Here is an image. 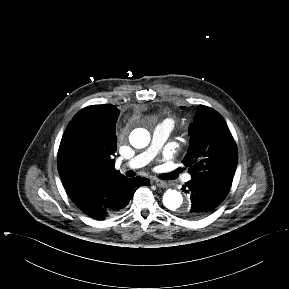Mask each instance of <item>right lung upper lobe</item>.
<instances>
[{
  "label": "right lung upper lobe",
  "instance_id": "cb5924a9",
  "mask_svg": "<svg viewBox=\"0 0 289 289\" xmlns=\"http://www.w3.org/2000/svg\"><path fill=\"white\" fill-rule=\"evenodd\" d=\"M99 106L119 111L113 105L86 108ZM75 118L67 126L59 146L58 171L76 206L87 215L98 216L106 212L119 185L128 178L114 169L116 135L102 145L81 146L73 133Z\"/></svg>",
  "mask_w": 289,
  "mask_h": 289
}]
</instances>
